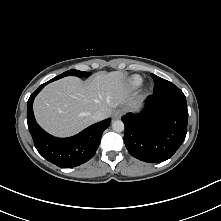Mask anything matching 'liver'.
Returning <instances> with one entry per match:
<instances>
[{
  "instance_id": "6515ba94",
  "label": "liver",
  "mask_w": 221,
  "mask_h": 221,
  "mask_svg": "<svg viewBox=\"0 0 221 221\" xmlns=\"http://www.w3.org/2000/svg\"><path fill=\"white\" fill-rule=\"evenodd\" d=\"M124 78L119 71H102L86 82L66 77L47 85L34 101L38 124L52 135L65 137L93 124L92 114L97 111L107 118L119 105L131 107Z\"/></svg>"
}]
</instances>
